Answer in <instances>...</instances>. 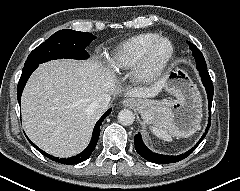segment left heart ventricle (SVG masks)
Masks as SVG:
<instances>
[{
    "instance_id": "left-heart-ventricle-1",
    "label": "left heart ventricle",
    "mask_w": 240,
    "mask_h": 191,
    "mask_svg": "<svg viewBox=\"0 0 240 191\" xmlns=\"http://www.w3.org/2000/svg\"><path fill=\"white\" fill-rule=\"evenodd\" d=\"M169 51V45L167 43H161L155 50L153 59L154 62L161 61Z\"/></svg>"
}]
</instances>
